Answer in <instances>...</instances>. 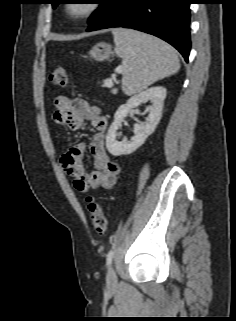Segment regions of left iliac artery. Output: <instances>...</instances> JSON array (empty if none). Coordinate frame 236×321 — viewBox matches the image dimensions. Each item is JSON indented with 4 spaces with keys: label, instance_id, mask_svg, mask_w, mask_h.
I'll use <instances>...</instances> for the list:
<instances>
[{
    "label": "left iliac artery",
    "instance_id": "1",
    "mask_svg": "<svg viewBox=\"0 0 236 321\" xmlns=\"http://www.w3.org/2000/svg\"><path fill=\"white\" fill-rule=\"evenodd\" d=\"M113 256H114V251L110 250L108 255H107V262H106L107 266H109L111 264Z\"/></svg>",
    "mask_w": 236,
    "mask_h": 321
}]
</instances>
